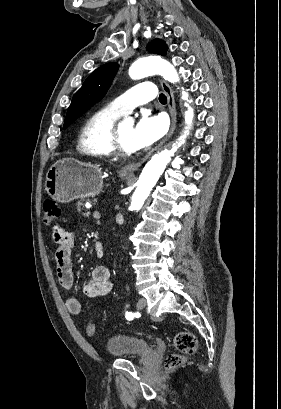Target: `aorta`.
Listing matches in <instances>:
<instances>
[{"mask_svg": "<svg viewBox=\"0 0 281 409\" xmlns=\"http://www.w3.org/2000/svg\"><path fill=\"white\" fill-rule=\"evenodd\" d=\"M160 74L165 80L175 83L179 81V76L175 68L166 60L160 57H146L135 61L129 68V75L132 79H141L150 75ZM188 93L182 89V99L187 101L185 106L187 111L185 112L186 129L184 134L180 136L178 142L173 145L171 149L163 150L155 154L149 162L143 168L140 177L137 181V188L131 199V210H140L149 196L152 188L157 183L160 175L164 172L167 164L171 161V157L177 151V148L184 143L186 135L189 132V128L192 125L194 112L190 107L188 100ZM125 125H133L131 119L124 120Z\"/></svg>", "mask_w": 281, "mask_h": 409, "instance_id": "1", "label": "aorta"}]
</instances>
